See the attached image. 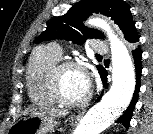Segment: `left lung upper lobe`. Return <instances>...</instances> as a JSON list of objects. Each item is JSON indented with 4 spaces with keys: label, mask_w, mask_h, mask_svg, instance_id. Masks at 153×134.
<instances>
[{
    "label": "left lung upper lobe",
    "mask_w": 153,
    "mask_h": 134,
    "mask_svg": "<svg viewBox=\"0 0 153 134\" xmlns=\"http://www.w3.org/2000/svg\"><path fill=\"white\" fill-rule=\"evenodd\" d=\"M94 12L111 17L119 25L128 42L139 41V35L128 4L121 0H82L65 15L52 19L46 30L34 42L65 39L76 44H83L87 38H102L101 32L83 25V21ZM97 69L100 73L103 67L98 65Z\"/></svg>",
    "instance_id": "5c2ea615"
}]
</instances>
